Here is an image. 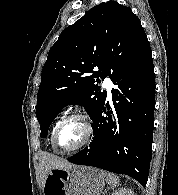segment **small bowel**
<instances>
[{"label": "small bowel", "mask_w": 178, "mask_h": 195, "mask_svg": "<svg viewBox=\"0 0 178 195\" xmlns=\"http://www.w3.org/2000/svg\"><path fill=\"white\" fill-rule=\"evenodd\" d=\"M47 193H48L47 195H61L60 194V191H56V192H54V191H48Z\"/></svg>", "instance_id": "obj_1"}]
</instances>
